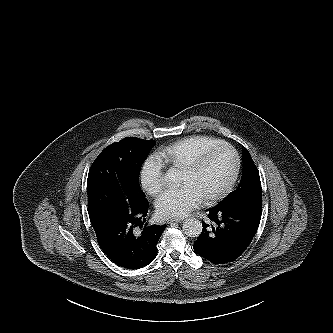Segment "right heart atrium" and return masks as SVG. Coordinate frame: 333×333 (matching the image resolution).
<instances>
[{
    "label": "right heart atrium",
    "instance_id": "right-heart-atrium-1",
    "mask_svg": "<svg viewBox=\"0 0 333 333\" xmlns=\"http://www.w3.org/2000/svg\"><path fill=\"white\" fill-rule=\"evenodd\" d=\"M165 162L157 153L150 154L143 161L139 171L142 189L149 195H157L164 187Z\"/></svg>",
    "mask_w": 333,
    "mask_h": 333
}]
</instances>
